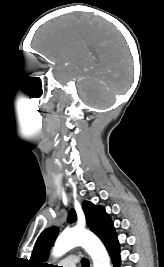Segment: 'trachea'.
<instances>
[{
  "mask_svg": "<svg viewBox=\"0 0 164 267\" xmlns=\"http://www.w3.org/2000/svg\"><path fill=\"white\" fill-rule=\"evenodd\" d=\"M82 267H89V261L86 258H82L81 260Z\"/></svg>",
  "mask_w": 164,
  "mask_h": 267,
  "instance_id": "obj_1",
  "label": "trachea"
}]
</instances>
